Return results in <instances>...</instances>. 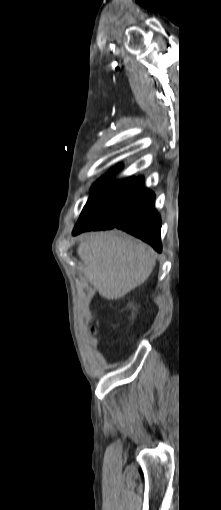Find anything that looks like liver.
<instances>
[{
  "label": "liver",
  "instance_id": "1",
  "mask_svg": "<svg viewBox=\"0 0 221 510\" xmlns=\"http://www.w3.org/2000/svg\"><path fill=\"white\" fill-rule=\"evenodd\" d=\"M84 276L108 300L118 299L143 284L153 271V250L118 231L85 234L77 248Z\"/></svg>",
  "mask_w": 221,
  "mask_h": 510
}]
</instances>
